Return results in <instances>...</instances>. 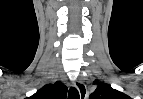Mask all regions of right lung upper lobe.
I'll return each instance as SVG.
<instances>
[{"label":"right lung upper lobe","instance_id":"obj_1","mask_svg":"<svg viewBox=\"0 0 143 99\" xmlns=\"http://www.w3.org/2000/svg\"><path fill=\"white\" fill-rule=\"evenodd\" d=\"M67 87L57 81L54 85H45L27 99H66Z\"/></svg>","mask_w":143,"mask_h":99}]
</instances>
